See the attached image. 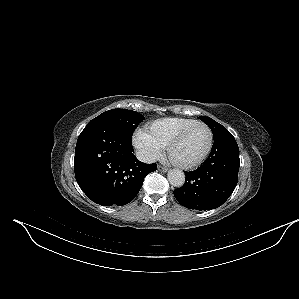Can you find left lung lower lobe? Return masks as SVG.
<instances>
[{
	"mask_svg": "<svg viewBox=\"0 0 299 299\" xmlns=\"http://www.w3.org/2000/svg\"><path fill=\"white\" fill-rule=\"evenodd\" d=\"M240 166L239 148L233 135L224 130L214 135L209 157L195 171L186 172L185 184L174 190L184 207L199 211L221 206L236 187Z\"/></svg>",
	"mask_w": 299,
	"mask_h": 299,
	"instance_id": "obj_1",
	"label": "left lung lower lobe"
}]
</instances>
